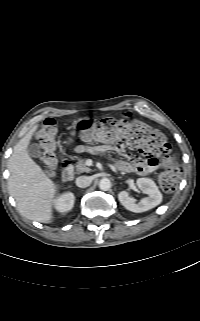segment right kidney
<instances>
[{
	"mask_svg": "<svg viewBox=\"0 0 200 321\" xmlns=\"http://www.w3.org/2000/svg\"><path fill=\"white\" fill-rule=\"evenodd\" d=\"M75 197L73 193L67 192L54 200V207L60 213L71 210L74 206Z\"/></svg>",
	"mask_w": 200,
	"mask_h": 321,
	"instance_id": "1",
	"label": "right kidney"
}]
</instances>
